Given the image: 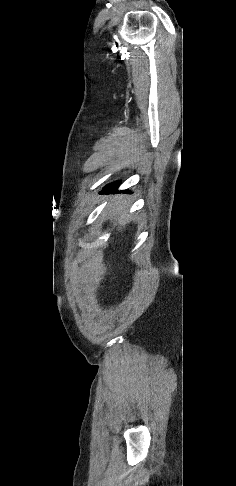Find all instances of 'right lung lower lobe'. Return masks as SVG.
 <instances>
[{"mask_svg": "<svg viewBox=\"0 0 236 486\" xmlns=\"http://www.w3.org/2000/svg\"><path fill=\"white\" fill-rule=\"evenodd\" d=\"M118 185H119V182H114L112 184H109L107 185L103 190H102V193H113V192H116L117 188H118ZM127 193H129L127 191Z\"/></svg>", "mask_w": 236, "mask_h": 486, "instance_id": "1", "label": "right lung lower lobe"}]
</instances>
